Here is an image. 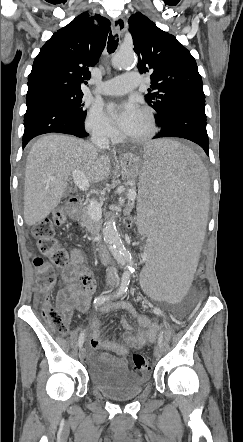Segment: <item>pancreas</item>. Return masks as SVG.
<instances>
[{"label":"pancreas","mask_w":243,"mask_h":442,"mask_svg":"<svg viewBox=\"0 0 243 442\" xmlns=\"http://www.w3.org/2000/svg\"><path fill=\"white\" fill-rule=\"evenodd\" d=\"M81 224L91 234L96 233L101 226L100 221L90 218L87 206L82 209Z\"/></svg>","instance_id":"obj_1"}]
</instances>
